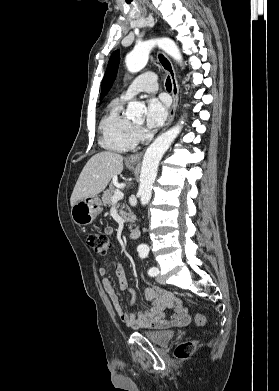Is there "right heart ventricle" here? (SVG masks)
I'll list each match as a JSON object with an SVG mask.
<instances>
[{
    "label": "right heart ventricle",
    "mask_w": 279,
    "mask_h": 391,
    "mask_svg": "<svg viewBox=\"0 0 279 391\" xmlns=\"http://www.w3.org/2000/svg\"><path fill=\"white\" fill-rule=\"evenodd\" d=\"M124 101L113 99L100 122V144L110 151L126 152L137 143L133 124L122 113Z\"/></svg>",
    "instance_id": "1"
}]
</instances>
